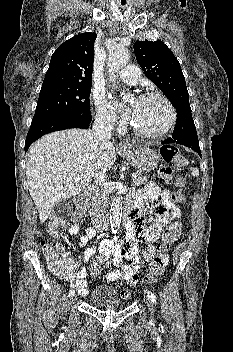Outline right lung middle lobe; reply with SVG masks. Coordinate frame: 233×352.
Here are the masks:
<instances>
[{
	"label": "right lung middle lobe",
	"mask_w": 233,
	"mask_h": 352,
	"mask_svg": "<svg viewBox=\"0 0 233 352\" xmlns=\"http://www.w3.org/2000/svg\"><path fill=\"white\" fill-rule=\"evenodd\" d=\"M91 85L42 87L33 120L90 112Z\"/></svg>",
	"instance_id": "obj_1"
}]
</instances>
